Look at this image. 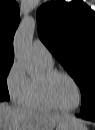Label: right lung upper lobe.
Listing matches in <instances>:
<instances>
[{
    "label": "right lung upper lobe",
    "mask_w": 95,
    "mask_h": 130,
    "mask_svg": "<svg viewBox=\"0 0 95 130\" xmlns=\"http://www.w3.org/2000/svg\"><path fill=\"white\" fill-rule=\"evenodd\" d=\"M20 20L14 0H0V62H13V38Z\"/></svg>",
    "instance_id": "cb5924a9"
}]
</instances>
